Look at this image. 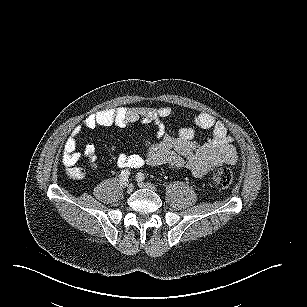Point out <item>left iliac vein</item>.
Listing matches in <instances>:
<instances>
[{"mask_svg": "<svg viewBox=\"0 0 307 307\" xmlns=\"http://www.w3.org/2000/svg\"><path fill=\"white\" fill-rule=\"evenodd\" d=\"M138 185H139V187H141V188H148V189H152V190L155 189L154 185L151 184V183H143V182H140Z\"/></svg>", "mask_w": 307, "mask_h": 307, "instance_id": "4c4485c4", "label": "left iliac vein"}]
</instances>
